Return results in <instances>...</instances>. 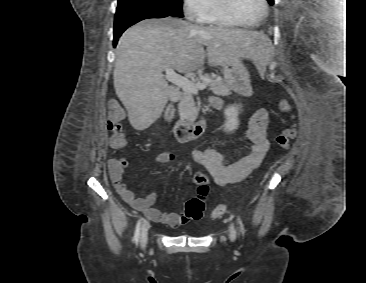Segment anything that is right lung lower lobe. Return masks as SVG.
<instances>
[{
  "mask_svg": "<svg viewBox=\"0 0 366 283\" xmlns=\"http://www.w3.org/2000/svg\"><path fill=\"white\" fill-rule=\"evenodd\" d=\"M170 16L158 10H140L132 12H122L115 15L114 23V47L117 44L118 38L131 25L148 18H164Z\"/></svg>",
  "mask_w": 366,
  "mask_h": 283,
  "instance_id": "right-lung-lower-lobe-1",
  "label": "right lung lower lobe"
}]
</instances>
